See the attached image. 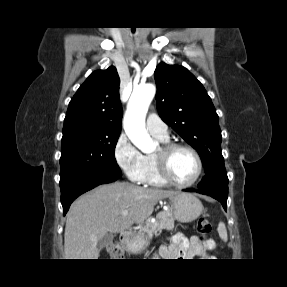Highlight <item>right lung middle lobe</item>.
<instances>
[{"instance_id": "obj_1", "label": "right lung middle lobe", "mask_w": 287, "mask_h": 287, "mask_svg": "<svg viewBox=\"0 0 287 287\" xmlns=\"http://www.w3.org/2000/svg\"><path fill=\"white\" fill-rule=\"evenodd\" d=\"M120 131H100L78 125L63 131L60 180L80 173L121 177L114 150Z\"/></svg>"}]
</instances>
